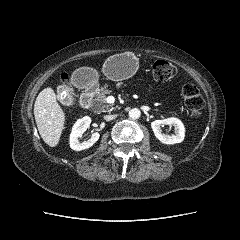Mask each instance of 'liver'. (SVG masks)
Instances as JSON below:
<instances>
[{
  "mask_svg": "<svg viewBox=\"0 0 240 240\" xmlns=\"http://www.w3.org/2000/svg\"><path fill=\"white\" fill-rule=\"evenodd\" d=\"M34 117L39 134L50 147L58 145L64 129L65 114L50 87L43 89L34 104Z\"/></svg>",
  "mask_w": 240,
  "mask_h": 240,
  "instance_id": "obj_1",
  "label": "liver"
}]
</instances>
